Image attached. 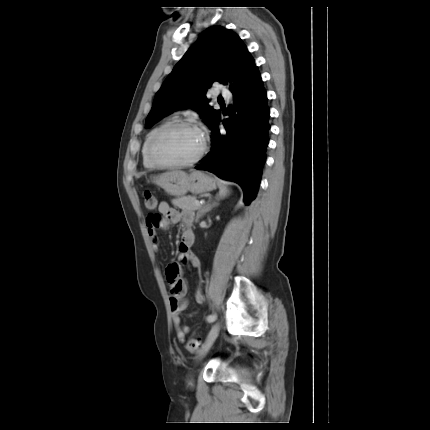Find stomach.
<instances>
[{"label": "stomach", "mask_w": 430, "mask_h": 430, "mask_svg": "<svg viewBox=\"0 0 430 430\" xmlns=\"http://www.w3.org/2000/svg\"><path fill=\"white\" fill-rule=\"evenodd\" d=\"M154 181L172 196H184L187 192L200 194L211 191L216 184L213 178L202 171L186 173L181 170H171L154 178Z\"/></svg>", "instance_id": "0dacf381"}]
</instances>
